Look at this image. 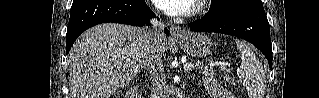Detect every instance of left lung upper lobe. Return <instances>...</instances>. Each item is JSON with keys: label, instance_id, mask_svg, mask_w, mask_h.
Wrapping results in <instances>:
<instances>
[{"label": "left lung upper lobe", "instance_id": "left-lung-upper-lobe-1", "mask_svg": "<svg viewBox=\"0 0 319 98\" xmlns=\"http://www.w3.org/2000/svg\"><path fill=\"white\" fill-rule=\"evenodd\" d=\"M246 0H212L208 13L204 16L207 19H214L225 14L232 6Z\"/></svg>", "mask_w": 319, "mask_h": 98}]
</instances>
